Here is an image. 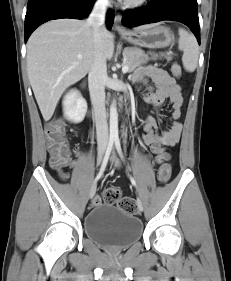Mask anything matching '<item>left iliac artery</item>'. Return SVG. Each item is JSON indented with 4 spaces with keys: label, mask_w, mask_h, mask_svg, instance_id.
Segmentation results:
<instances>
[{
    "label": "left iliac artery",
    "mask_w": 231,
    "mask_h": 281,
    "mask_svg": "<svg viewBox=\"0 0 231 281\" xmlns=\"http://www.w3.org/2000/svg\"><path fill=\"white\" fill-rule=\"evenodd\" d=\"M114 142H115V147H116V149H117V152L119 153L121 159H123V153H122V149H121V145H120V140H119V138H118V137L115 138V139H114ZM129 177H130V180H131V183L133 184V186L136 187L137 185H136L135 179H134L131 175H129Z\"/></svg>",
    "instance_id": "left-iliac-artery-1"
}]
</instances>
